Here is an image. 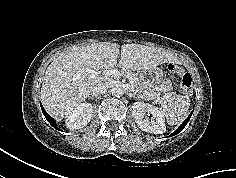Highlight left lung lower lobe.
<instances>
[{
	"mask_svg": "<svg viewBox=\"0 0 236 178\" xmlns=\"http://www.w3.org/2000/svg\"><path fill=\"white\" fill-rule=\"evenodd\" d=\"M192 113H193V111L190 113L188 118L179 126V128L175 132H173L170 136L177 135L178 133H180L184 129V127L187 125Z\"/></svg>",
	"mask_w": 236,
	"mask_h": 178,
	"instance_id": "left-lung-lower-lobe-1",
	"label": "left lung lower lobe"
}]
</instances>
